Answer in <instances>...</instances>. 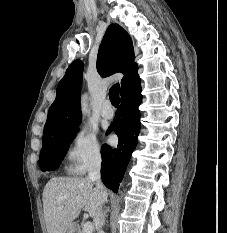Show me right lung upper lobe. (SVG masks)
I'll list each match as a JSON object with an SVG mask.
<instances>
[{"label": "right lung upper lobe", "mask_w": 227, "mask_h": 233, "mask_svg": "<svg viewBox=\"0 0 227 233\" xmlns=\"http://www.w3.org/2000/svg\"><path fill=\"white\" fill-rule=\"evenodd\" d=\"M97 70L102 77L121 72V97L140 86L134 63V50L130 36L118 24H111L101 42L97 56ZM83 63L75 60L58 84L56 99L49 108L43 141L63 135L81 122L80 91Z\"/></svg>", "instance_id": "cb5924a9"}]
</instances>
